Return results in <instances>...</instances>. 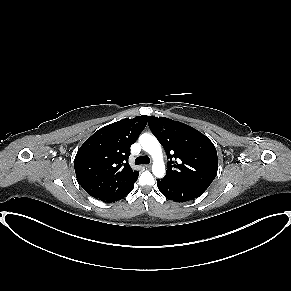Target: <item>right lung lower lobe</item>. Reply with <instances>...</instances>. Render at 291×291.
Returning a JSON list of instances; mask_svg holds the SVG:
<instances>
[{"label":"right lung lower lobe","mask_w":291,"mask_h":291,"mask_svg":"<svg viewBox=\"0 0 291 291\" xmlns=\"http://www.w3.org/2000/svg\"><path fill=\"white\" fill-rule=\"evenodd\" d=\"M133 188H134V183L125 192H123L119 196H117L109 201H106V202H114V201H118L120 199H123L128 193H130L133 190Z\"/></svg>","instance_id":"obj_1"}]
</instances>
